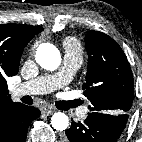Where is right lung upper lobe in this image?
I'll return each instance as SVG.
<instances>
[{
	"mask_svg": "<svg viewBox=\"0 0 142 142\" xmlns=\"http://www.w3.org/2000/svg\"><path fill=\"white\" fill-rule=\"evenodd\" d=\"M42 30V27L31 25H0V114L21 104L10 99L5 78L18 73L24 47Z\"/></svg>",
	"mask_w": 142,
	"mask_h": 142,
	"instance_id": "obj_1",
	"label": "right lung upper lobe"
}]
</instances>
